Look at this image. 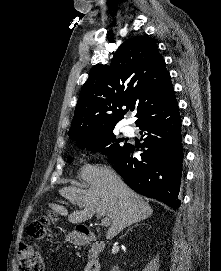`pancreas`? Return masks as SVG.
Wrapping results in <instances>:
<instances>
[{
    "label": "pancreas",
    "mask_w": 221,
    "mask_h": 271,
    "mask_svg": "<svg viewBox=\"0 0 221 271\" xmlns=\"http://www.w3.org/2000/svg\"><path fill=\"white\" fill-rule=\"evenodd\" d=\"M88 257H89V259H90V257H91V253H90V251H89V255H88Z\"/></svg>",
    "instance_id": "pancreas-1"
}]
</instances>
